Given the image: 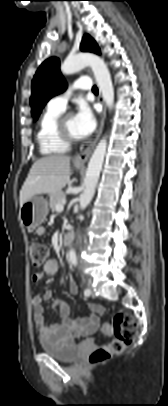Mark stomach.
<instances>
[{"instance_id":"0dacf381","label":"stomach","mask_w":168,"mask_h":406,"mask_svg":"<svg viewBox=\"0 0 168 406\" xmlns=\"http://www.w3.org/2000/svg\"><path fill=\"white\" fill-rule=\"evenodd\" d=\"M76 168H81L75 164ZM48 214V203L40 196H33L26 201L21 207L19 216L21 223L29 229H34L40 226Z\"/></svg>"}]
</instances>
